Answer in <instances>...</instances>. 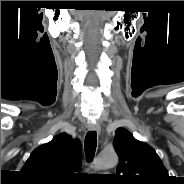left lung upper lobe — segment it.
<instances>
[{"mask_svg":"<svg viewBox=\"0 0 184 184\" xmlns=\"http://www.w3.org/2000/svg\"><path fill=\"white\" fill-rule=\"evenodd\" d=\"M119 156L114 179L120 184H169L171 178L155 150L118 128L113 141Z\"/></svg>","mask_w":184,"mask_h":184,"instance_id":"1","label":"left lung upper lobe"}]
</instances>
